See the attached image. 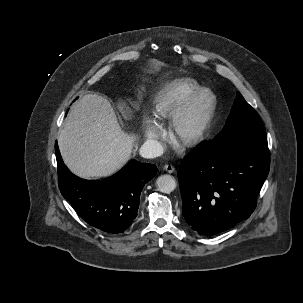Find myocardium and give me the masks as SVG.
<instances>
[{"label": "myocardium", "mask_w": 303, "mask_h": 303, "mask_svg": "<svg viewBox=\"0 0 303 303\" xmlns=\"http://www.w3.org/2000/svg\"><path fill=\"white\" fill-rule=\"evenodd\" d=\"M204 96L209 97V103L202 118L193 129L186 130L185 123L187 119ZM217 104V96L210 88L202 87L198 89L171 117L170 129L174 138L184 146L190 147L198 144L204 138L212 123Z\"/></svg>", "instance_id": "f54148a6"}]
</instances>
